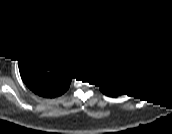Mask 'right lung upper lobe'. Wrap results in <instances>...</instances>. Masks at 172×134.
<instances>
[{
    "label": "right lung upper lobe",
    "instance_id": "right-lung-upper-lobe-1",
    "mask_svg": "<svg viewBox=\"0 0 172 134\" xmlns=\"http://www.w3.org/2000/svg\"><path fill=\"white\" fill-rule=\"evenodd\" d=\"M19 70L32 92L50 98L66 92L74 76L64 66L59 40L49 32L35 34L26 41L19 59Z\"/></svg>",
    "mask_w": 172,
    "mask_h": 134
}]
</instances>
